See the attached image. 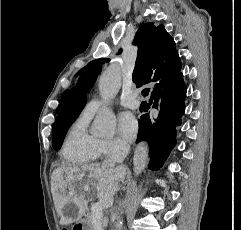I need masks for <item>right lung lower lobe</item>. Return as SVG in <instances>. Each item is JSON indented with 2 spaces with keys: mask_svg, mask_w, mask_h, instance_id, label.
I'll use <instances>...</instances> for the list:
<instances>
[{
  "mask_svg": "<svg viewBox=\"0 0 241 230\" xmlns=\"http://www.w3.org/2000/svg\"><path fill=\"white\" fill-rule=\"evenodd\" d=\"M181 67L156 84L150 101L158 110L157 116L144 114L139 119L137 143L149 144V169L159 170L175 145L176 126L181 124L185 111L184 99L187 87L180 72Z\"/></svg>",
  "mask_w": 241,
  "mask_h": 230,
  "instance_id": "obj_1",
  "label": "right lung lower lobe"
}]
</instances>
